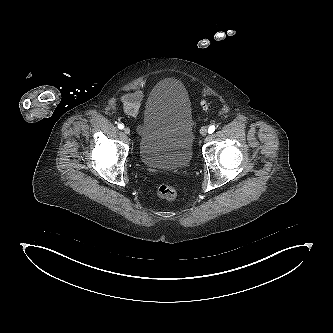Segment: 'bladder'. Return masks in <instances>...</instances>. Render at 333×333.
Here are the masks:
<instances>
[{"label": "bladder", "mask_w": 333, "mask_h": 333, "mask_svg": "<svg viewBox=\"0 0 333 333\" xmlns=\"http://www.w3.org/2000/svg\"><path fill=\"white\" fill-rule=\"evenodd\" d=\"M139 136V157L146 166L173 170L190 163L192 108L181 81L169 77L153 87L146 100Z\"/></svg>", "instance_id": "31cf9c89"}]
</instances>
